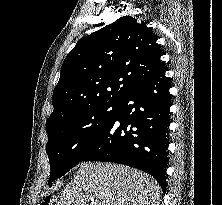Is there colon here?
Here are the masks:
<instances>
[{"instance_id":"5ec220e1","label":"colon","mask_w":222,"mask_h":205,"mask_svg":"<svg viewBox=\"0 0 222 205\" xmlns=\"http://www.w3.org/2000/svg\"><path fill=\"white\" fill-rule=\"evenodd\" d=\"M41 205H53L51 201L47 200L43 202Z\"/></svg>"}]
</instances>
